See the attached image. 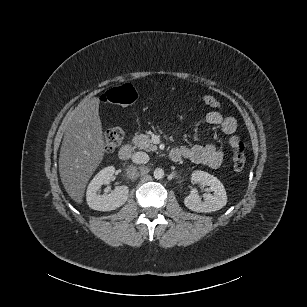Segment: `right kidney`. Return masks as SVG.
Returning <instances> with one entry per match:
<instances>
[{
    "label": "right kidney",
    "instance_id": "1",
    "mask_svg": "<svg viewBox=\"0 0 307 307\" xmlns=\"http://www.w3.org/2000/svg\"><path fill=\"white\" fill-rule=\"evenodd\" d=\"M114 173L113 167L100 171L91 181L87 190V203L96 211H112L121 208L128 201L129 189L127 186L117 187L115 190L99 193L102 185H109Z\"/></svg>",
    "mask_w": 307,
    "mask_h": 307
}]
</instances>
